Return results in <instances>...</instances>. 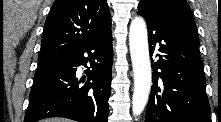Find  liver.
<instances>
[{
  "instance_id": "liver-1",
  "label": "liver",
  "mask_w": 221,
  "mask_h": 122,
  "mask_svg": "<svg viewBox=\"0 0 221 122\" xmlns=\"http://www.w3.org/2000/svg\"><path fill=\"white\" fill-rule=\"evenodd\" d=\"M44 122H67V119H63V118H51V119H46Z\"/></svg>"
}]
</instances>
